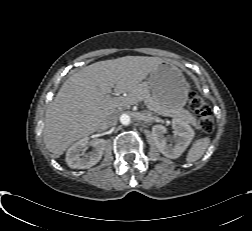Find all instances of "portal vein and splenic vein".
I'll use <instances>...</instances> for the list:
<instances>
[{"instance_id":"1","label":"portal vein and splenic vein","mask_w":252,"mask_h":231,"mask_svg":"<svg viewBox=\"0 0 252 231\" xmlns=\"http://www.w3.org/2000/svg\"><path fill=\"white\" fill-rule=\"evenodd\" d=\"M104 100L106 102H109V103H111V102H120L121 104L128 101L126 98H123V97L112 98L110 95H106Z\"/></svg>"}]
</instances>
